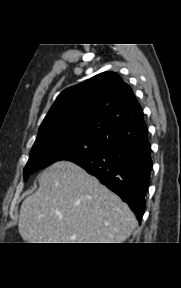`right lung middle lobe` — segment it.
<instances>
[{"instance_id": "right-lung-middle-lobe-1", "label": "right lung middle lobe", "mask_w": 181, "mask_h": 288, "mask_svg": "<svg viewBox=\"0 0 181 288\" xmlns=\"http://www.w3.org/2000/svg\"><path fill=\"white\" fill-rule=\"evenodd\" d=\"M107 149L101 143L86 137L68 136L35 141L24 168V180L30 174L60 160H73L100 153Z\"/></svg>"}]
</instances>
